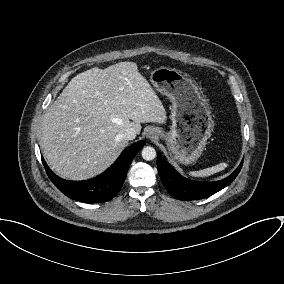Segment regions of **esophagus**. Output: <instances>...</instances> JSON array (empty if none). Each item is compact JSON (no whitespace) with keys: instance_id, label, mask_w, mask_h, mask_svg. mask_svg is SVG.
Segmentation results:
<instances>
[{"instance_id":"1","label":"esophagus","mask_w":284,"mask_h":284,"mask_svg":"<svg viewBox=\"0 0 284 284\" xmlns=\"http://www.w3.org/2000/svg\"><path fill=\"white\" fill-rule=\"evenodd\" d=\"M146 137L149 139H153L156 137V132L154 130H150L148 131V133L146 134Z\"/></svg>"}]
</instances>
